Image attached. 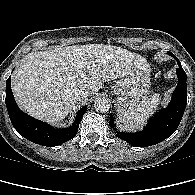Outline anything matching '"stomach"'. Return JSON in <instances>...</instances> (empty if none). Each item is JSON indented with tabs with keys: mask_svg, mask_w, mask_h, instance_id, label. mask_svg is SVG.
I'll use <instances>...</instances> for the list:
<instances>
[{
	"mask_svg": "<svg viewBox=\"0 0 195 195\" xmlns=\"http://www.w3.org/2000/svg\"><path fill=\"white\" fill-rule=\"evenodd\" d=\"M150 67L147 62L137 64L123 80L112 87L118 103L124 111L141 106L150 93Z\"/></svg>",
	"mask_w": 195,
	"mask_h": 195,
	"instance_id": "stomach-1",
	"label": "stomach"
}]
</instances>
